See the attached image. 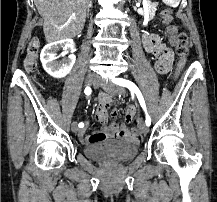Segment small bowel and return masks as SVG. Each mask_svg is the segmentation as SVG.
Returning a JSON list of instances; mask_svg holds the SVG:
<instances>
[{
  "label": "small bowel",
  "instance_id": "small-bowel-1",
  "mask_svg": "<svg viewBox=\"0 0 217 202\" xmlns=\"http://www.w3.org/2000/svg\"><path fill=\"white\" fill-rule=\"evenodd\" d=\"M143 44L147 52L158 59L156 67L160 73L168 71L173 62L172 50L164 44L156 35L146 34L143 36ZM111 96L108 93H102L97 98L95 118L103 124L100 130H97L85 136L83 132L78 133L80 141L86 143H96L105 138L123 140L131 143H138L141 131H130L128 124L136 115L137 109L134 105H129L124 112V122L120 125L108 124L107 109L111 108ZM112 116H117V111L113 110Z\"/></svg>",
  "mask_w": 217,
  "mask_h": 202
}]
</instances>
